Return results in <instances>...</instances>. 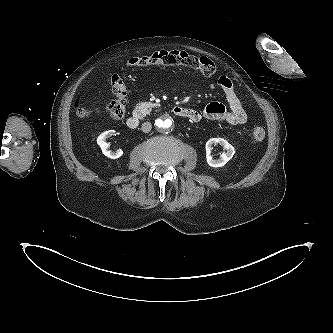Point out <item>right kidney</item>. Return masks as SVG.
I'll list each match as a JSON object with an SVG mask.
<instances>
[{
    "instance_id": "right-kidney-1",
    "label": "right kidney",
    "mask_w": 333,
    "mask_h": 333,
    "mask_svg": "<svg viewBox=\"0 0 333 333\" xmlns=\"http://www.w3.org/2000/svg\"><path fill=\"white\" fill-rule=\"evenodd\" d=\"M115 133L114 130H108V131H105L103 132L102 134H100L97 138V143L98 145L100 146L101 150H102V153L111 158V159H117L119 157H121L123 155V151L120 149V150H117V151H112V150H109L108 147H109V144L105 142V139L107 138L108 135H111Z\"/></svg>"
}]
</instances>
